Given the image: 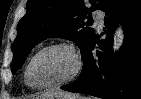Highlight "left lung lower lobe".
Wrapping results in <instances>:
<instances>
[{
    "label": "left lung lower lobe",
    "mask_w": 141,
    "mask_h": 99,
    "mask_svg": "<svg viewBox=\"0 0 141 99\" xmlns=\"http://www.w3.org/2000/svg\"><path fill=\"white\" fill-rule=\"evenodd\" d=\"M106 39L90 42L80 77L61 89L103 99H141V0H115L104 10ZM123 25L124 42L113 54L112 32ZM98 44L100 51L93 55Z\"/></svg>",
    "instance_id": "1"
}]
</instances>
